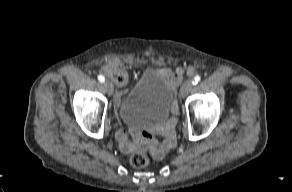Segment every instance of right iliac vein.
<instances>
[{
	"instance_id": "1",
	"label": "right iliac vein",
	"mask_w": 292,
	"mask_h": 192,
	"mask_svg": "<svg viewBox=\"0 0 292 192\" xmlns=\"http://www.w3.org/2000/svg\"><path fill=\"white\" fill-rule=\"evenodd\" d=\"M104 88L106 89V92L108 93V95L113 94L114 88H113V85L109 81L104 82Z\"/></svg>"
}]
</instances>
